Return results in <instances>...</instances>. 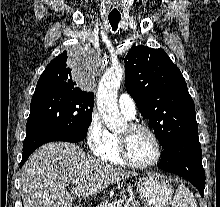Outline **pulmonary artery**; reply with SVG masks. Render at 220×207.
Returning a JSON list of instances; mask_svg holds the SVG:
<instances>
[{
  "label": "pulmonary artery",
  "mask_w": 220,
  "mask_h": 207,
  "mask_svg": "<svg viewBox=\"0 0 220 207\" xmlns=\"http://www.w3.org/2000/svg\"><path fill=\"white\" fill-rule=\"evenodd\" d=\"M118 105L121 112L128 118H134L136 105L132 97L127 93H122L118 98Z\"/></svg>",
  "instance_id": "e3ab8cb5"
}]
</instances>
